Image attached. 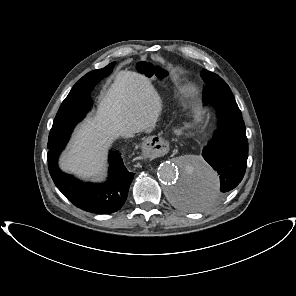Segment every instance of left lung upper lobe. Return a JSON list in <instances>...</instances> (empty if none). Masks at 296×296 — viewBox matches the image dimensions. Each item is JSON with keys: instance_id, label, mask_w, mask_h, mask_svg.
Instances as JSON below:
<instances>
[{"instance_id": "left-lung-upper-lobe-1", "label": "left lung upper lobe", "mask_w": 296, "mask_h": 296, "mask_svg": "<svg viewBox=\"0 0 296 296\" xmlns=\"http://www.w3.org/2000/svg\"><path fill=\"white\" fill-rule=\"evenodd\" d=\"M201 77L206 83L208 89L204 87L203 100L208 98L215 99H234L229 86L217 74L206 69L202 70Z\"/></svg>"}]
</instances>
